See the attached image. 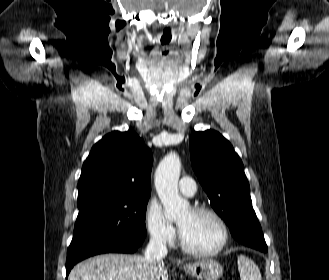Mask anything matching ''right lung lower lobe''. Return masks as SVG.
<instances>
[{
  "label": "right lung lower lobe",
  "instance_id": "obj_1",
  "mask_svg": "<svg viewBox=\"0 0 329 280\" xmlns=\"http://www.w3.org/2000/svg\"><path fill=\"white\" fill-rule=\"evenodd\" d=\"M139 246L106 238L90 240L74 251L67 253L66 278L73 266L85 258L109 252L134 253Z\"/></svg>",
  "mask_w": 329,
  "mask_h": 280
}]
</instances>
